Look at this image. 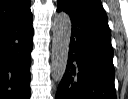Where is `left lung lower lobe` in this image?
<instances>
[{"mask_svg": "<svg viewBox=\"0 0 128 99\" xmlns=\"http://www.w3.org/2000/svg\"><path fill=\"white\" fill-rule=\"evenodd\" d=\"M71 17L68 62L56 99H116L113 48L107 17L58 0Z\"/></svg>", "mask_w": 128, "mask_h": 99, "instance_id": "0a47b994", "label": "left lung lower lobe"}]
</instances>
